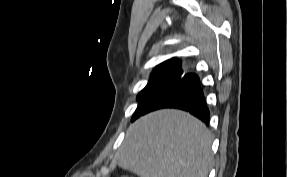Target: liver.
Segmentation results:
<instances>
[{
  "instance_id": "1",
  "label": "liver",
  "mask_w": 287,
  "mask_h": 177,
  "mask_svg": "<svg viewBox=\"0 0 287 177\" xmlns=\"http://www.w3.org/2000/svg\"><path fill=\"white\" fill-rule=\"evenodd\" d=\"M211 133L187 112L163 109L129 126L118 165L140 177H207Z\"/></svg>"
}]
</instances>
